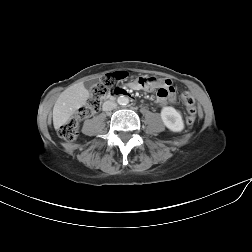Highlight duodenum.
Listing matches in <instances>:
<instances>
[{
    "instance_id": "410a0bca",
    "label": "duodenum",
    "mask_w": 252,
    "mask_h": 252,
    "mask_svg": "<svg viewBox=\"0 0 252 252\" xmlns=\"http://www.w3.org/2000/svg\"><path fill=\"white\" fill-rule=\"evenodd\" d=\"M119 95H123V96H127L129 98H132L131 95L123 90H118V91H115L113 94H111V97H114V96H119Z\"/></svg>"
}]
</instances>
